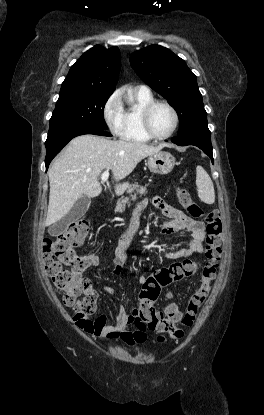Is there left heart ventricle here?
<instances>
[{"label":"left heart ventricle","mask_w":264,"mask_h":415,"mask_svg":"<svg viewBox=\"0 0 264 415\" xmlns=\"http://www.w3.org/2000/svg\"><path fill=\"white\" fill-rule=\"evenodd\" d=\"M150 122L153 131L157 135H165L171 130L174 118L171 111L167 107L159 105L152 111Z\"/></svg>","instance_id":"obj_1"}]
</instances>
